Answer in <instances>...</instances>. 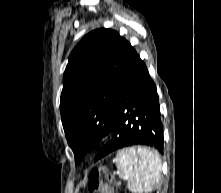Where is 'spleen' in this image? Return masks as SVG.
<instances>
[{"label": "spleen", "instance_id": "obj_1", "mask_svg": "<svg viewBox=\"0 0 221 193\" xmlns=\"http://www.w3.org/2000/svg\"><path fill=\"white\" fill-rule=\"evenodd\" d=\"M120 177L132 193H149L159 183L161 159L156 150L142 146H123L117 153Z\"/></svg>", "mask_w": 221, "mask_h": 193}]
</instances>
